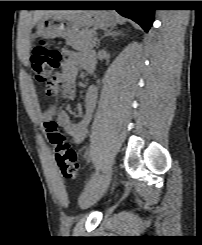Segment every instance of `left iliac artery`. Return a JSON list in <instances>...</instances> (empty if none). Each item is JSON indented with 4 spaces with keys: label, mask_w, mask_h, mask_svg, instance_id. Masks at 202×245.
Instances as JSON below:
<instances>
[{
    "label": "left iliac artery",
    "mask_w": 202,
    "mask_h": 245,
    "mask_svg": "<svg viewBox=\"0 0 202 245\" xmlns=\"http://www.w3.org/2000/svg\"><path fill=\"white\" fill-rule=\"evenodd\" d=\"M98 178H99V172L98 171H96L94 174H93V176L91 177V179L88 181V183H87V185H86V187H85V190H84V194H86L88 191H90L91 190V188H93L95 185H96V183H97V181H98Z\"/></svg>",
    "instance_id": "obj_1"
}]
</instances>
